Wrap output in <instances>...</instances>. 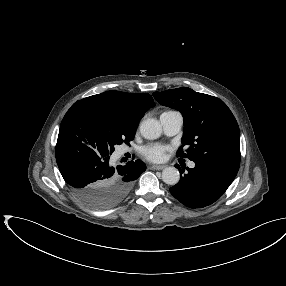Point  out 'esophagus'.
I'll return each mask as SVG.
<instances>
[{
  "instance_id": "1",
  "label": "esophagus",
  "mask_w": 286,
  "mask_h": 286,
  "mask_svg": "<svg viewBox=\"0 0 286 286\" xmlns=\"http://www.w3.org/2000/svg\"><path fill=\"white\" fill-rule=\"evenodd\" d=\"M165 167H166L165 165H152V166H150V169L162 170V169H164Z\"/></svg>"
}]
</instances>
